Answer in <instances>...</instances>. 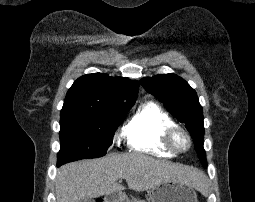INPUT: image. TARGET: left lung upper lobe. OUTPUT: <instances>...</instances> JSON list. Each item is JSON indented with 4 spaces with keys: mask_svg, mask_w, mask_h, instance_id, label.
<instances>
[{
    "mask_svg": "<svg viewBox=\"0 0 255 202\" xmlns=\"http://www.w3.org/2000/svg\"><path fill=\"white\" fill-rule=\"evenodd\" d=\"M142 86L155 97L190 132L198 157L204 168L207 167L203 148L204 125L203 111L197 94L181 77L169 73L146 77L140 80Z\"/></svg>",
    "mask_w": 255,
    "mask_h": 202,
    "instance_id": "1",
    "label": "left lung upper lobe"
}]
</instances>
